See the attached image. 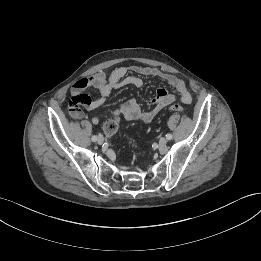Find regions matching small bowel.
Returning a JSON list of instances; mask_svg holds the SVG:
<instances>
[{"label":"small bowel","instance_id":"obj_1","mask_svg":"<svg viewBox=\"0 0 261 261\" xmlns=\"http://www.w3.org/2000/svg\"><path fill=\"white\" fill-rule=\"evenodd\" d=\"M133 72L136 75H128ZM142 77L159 79L172 87L178 95L179 100L184 104H190L192 96L188 91L185 82L173 75L164 73L158 69L132 65L129 67L120 66L115 68L109 75L99 71L92 76L83 77L77 80L71 88L70 114L74 119L83 117L82 107L89 111H95L106 101V98L114 91L124 86H134L140 88L143 86ZM88 88H94L99 92V97L92 99L84 91ZM176 100V96L169 93L165 88H159L155 98L143 109L136 100L130 99L121 104L112 112V115L122 116L128 121H141L148 123L166 106ZM92 123L97 125L101 119L93 116Z\"/></svg>","mask_w":261,"mask_h":261}]
</instances>
